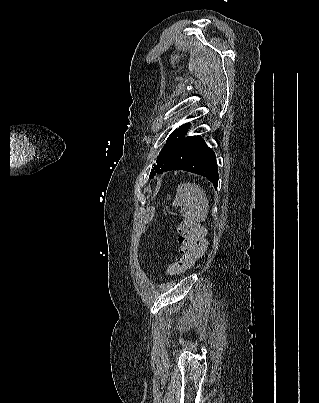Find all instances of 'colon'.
Listing matches in <instances>:
<instances>
[{"mask_svg": "<svg viewBox=\"0 0 319 403\" xmlns=\"http://www.w3.org/2000/svg\"><path fill=\"white\" fill-rule=\"evenodd\" d=\"M177 232L181 248L176 262L168 269L171 274L191 266L205 252L207 246L204 231L194 221L182 222Z\"/></svg>", "mask_w": 319, "mask_h": 403, "instance_id": "1", "label": "colon"}]
</instances>
